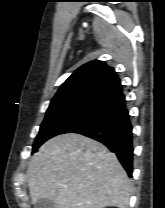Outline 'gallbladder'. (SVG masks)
<instances>
[{
    "label": "gallbladder",
    "mask_w": 165,
    "mask_h": 208,
    "mask_svg": "<svg viewBox=\"0 0 165 208\" xmlns=\"http://www.w3.org/2000/svg\"><path fill=\"white\" fill-rule=\"evenodd\" d=\"M34 208H55V206L51 200L43 198L34 204Z\"/></svg>",
    "instance_id": "gallbladder-1"
}]
</instances>
